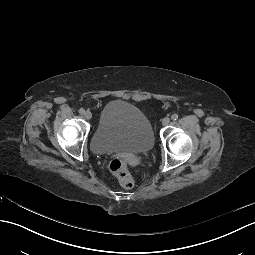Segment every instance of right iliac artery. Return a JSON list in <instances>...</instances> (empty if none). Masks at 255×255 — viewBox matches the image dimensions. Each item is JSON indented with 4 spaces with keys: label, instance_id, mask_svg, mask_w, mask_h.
<instances>
[{
    "label": "right iliac artery",
    "instance_id": "82829eb1",
    "mask_svg": "<svg viewBox=\"0 0 255 255\" xmlns=\"http://www.w3.org/2000/svg\"><path fill=\"white\" fill-rule=\"evenodd\" d=\"M79 113H80V114H84V113H85V110H84L83 108H80V109H79Z\"/></svg>",
    "mask_w": 255,
    "mask_h": 255
}]
</instances>
